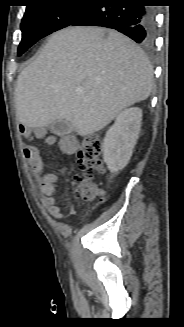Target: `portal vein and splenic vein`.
<instances>
[{"instance_id": "obj_1", "label": "portal vein and splenic vein", "mask_w": 184, "mask_h": 327, "mask_svg": "<svg viewBox=\"0 0 184 327\" xmlns=\"http://www.w3.org/2000/svg\"><path fill=\"white\" fill-rule=\"evenodd\" d=\"M81 92H82V90H81V89H78V90H77V93H78V94H80Z\"/></svg>"}]
</instances>
